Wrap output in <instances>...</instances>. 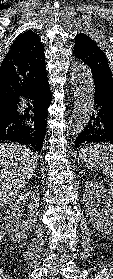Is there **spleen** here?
<instances>
[{
    "label": "spleen",
    "mask_w": 113,
    "mask_h": 279,
    "mask_svg": "<svg viewBox=\"0 0 113 279\" xmlns=\"http://www.w3.org/2000/svg\"><path fill=\"white\" fill-rule=\"evenodd\" d=\"M82 164L90 170H102L110 179L109 188L113 192V145L94 144L79 152Z\"/></svg>",
    "instance_id": "3e777b00"
}]
</instances>
